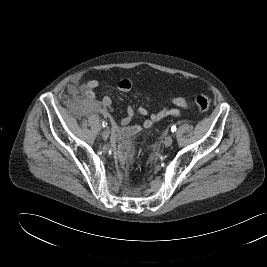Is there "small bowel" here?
Wrapping results in <instances>:
<instances>
[{
	"mask_svg": "<svg viewBox=\"0 0 267 267\" xmlns=\"http://www.w3.org/2000/svg\"><path fill=\"white\" fill-rule=\"evenodd\" d=\"M80 79L75 78L73 83L67 88V91L71 95H76L78 93L77 84ZM98 86L97 80H90L85 84L84 97L85 101L89 104L90 109L94 111H99L103 116L109 118L112 122V128L114 133L121 137L127 138L129 136L139 133L143 129L150 128L154 123L162 121L168 116H179L181 110H186L189 107V103L184 97H173L170 102L177 108H170L168 106L162 107L160 110L150 113L146 108L140 107L134 109L128 107L126 109V116L119 121V126L113 117V107L112 100L109 95L103 96L99 103L94 102L95 99V89ZM132 87L130 80L123 79L118 83V88L122 92H128ZM135 115L147 116V118L139 125L130 126L129 123Z\"/></svg>",
	"mask_w": 267,
	"mask_h": 267,
	"instance_id": "obj_1",
	"label": "small bowel"
}]
</instances>
